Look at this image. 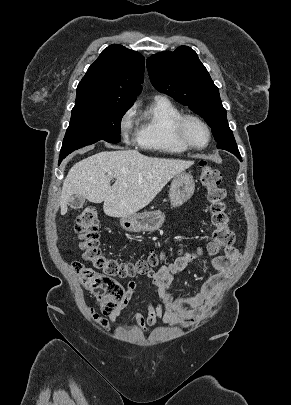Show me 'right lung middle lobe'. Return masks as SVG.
I'll return each instance as SVG.
<instances>
[{"label": "right lung middle lobe", "mask_w": 291, "mask_h": 405, "mask_svg": "<svg viewBox=\"0 0 291 405\" xmlns=\"http://www.w3.org/2000/svg\"><path fill=\"white\" fill-rule=\"evenodd\" d=\"M131 106L99 103L74 106L60 151L59 163L72 151L99 140L121 141V118Z\"/></svg>", "instance_id": "dd1d6c3e"}]
</instances>
